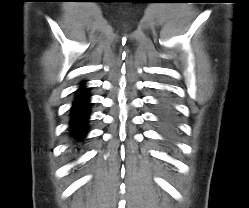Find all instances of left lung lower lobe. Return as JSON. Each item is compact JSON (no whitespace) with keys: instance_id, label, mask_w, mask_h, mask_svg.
Listing matches in <instances>:
<instances>
[{"instance_id":"left-lung-lower-lobe-1","label":"left lung lower lobe","mask_w":249,"mask_h":208,"mask_svg":"<svg viewBox=\"0 0 249 208\" xmlns=\"http://www.w3.org/2000/svg\"><path fill=\"white\" fill-rule=\"evenodd\" d=\"M159 110L160 126L164 134L170 138L173 136L176 127L173 108L168 100H164L161 102Z\"/></svg>"}]
</instances>
